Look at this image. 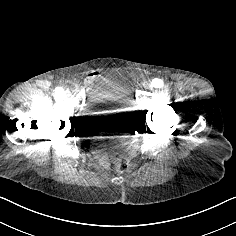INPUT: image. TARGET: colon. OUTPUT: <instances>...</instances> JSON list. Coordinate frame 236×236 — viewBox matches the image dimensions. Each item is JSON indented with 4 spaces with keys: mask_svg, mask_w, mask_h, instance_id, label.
<instances>
[{
    "mask_svg": "<svg viewBox=\"0 0 236 236\" xmlns=\"http://www.w3.org/2000/svg\"><path fill=\"white\" fill-rule=\"evenodd\" d=\"M112 160L116 171L124 173L130 169L131 161L127 153L120 147H115L112 151Z\"/></svg>",
    "mask_w": 236,
    "mask_h": 236,
    "instance_id": "5ec220e1",
    "label": "colon"
}]
</instances>
